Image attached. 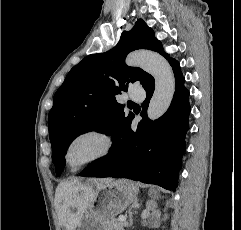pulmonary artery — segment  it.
<instances>
[{
    "mask_svg": "<svg viewBox=\"0 0 241 230\" xmlns=\"http://www.w3.org/2000/svg\"><path fill=\"white\" fill-rule=\"evenodd\" d=\"M128 96L132 101H140L144 98L145 92L140 86H133L129 90Z\"/></svg>",
    "mask_w": 241,
    "mask_h": 230,
    "instance_id": "obj_1",
    "label": "pulmonary artery"
}]
</instances>
